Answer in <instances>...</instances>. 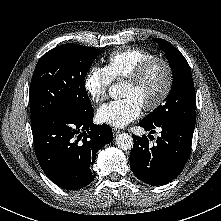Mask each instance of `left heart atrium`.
Masks as SVG:
<instances>
[{"label":"left heart atrium","mask_w":221,"mask_h":221,"mask_svg":"<svg viewBox=\"0 0 221 221\" xmlns=\"http://www.w3.org/2000/svg\"><path fill=\"white\" fill-rule=\"evenodd\" d=\"M143 106L132 96L123 97L101 106L98 119L114 127H124L137 119Z\"/></svg>","instance_id":"39dd6f15"}]
</instances>
